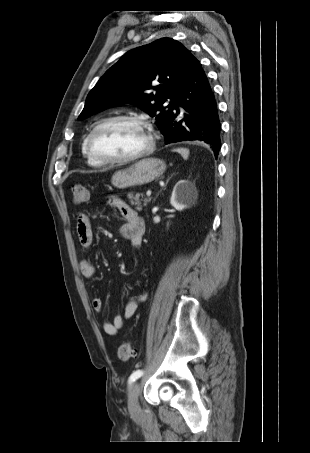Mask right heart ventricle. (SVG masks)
Listing matches in <instances>:
<instances>
[{
  "instance_id": "obj_1",
  "label": "right heart ventricle",
  "mask_w": 310,
  "mask_h": 453,
  "mask_svg": "<svg viewBox=\"0 0 310 453\" xmlns=\"http://www.w3.org/2000/svg\"><path fill=\"white\" fill-rule=\"evenodd\" d=\"M86 141H87V136L84 138L83 142H82V145H81V150H82V153L83 155L85 156L86 160H87V164L91 167H94V168H98V167H101L103 166L104 164L96 161L95 159H93L88 150H87V146H86Z\"/></svg>"
}]
</instances>
